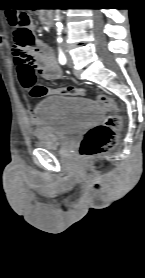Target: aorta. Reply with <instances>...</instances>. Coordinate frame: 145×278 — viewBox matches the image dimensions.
<instances>
[{"label":"aorta","instance_id":"762f6f07","mask_svg":"<svg viewBox=\"0 0 145 278\" xmlns=\"http://www.w3.org/2000/svg\"><path fill=\"white\" fill-rule=\"evenodd\" d=\"M56 27H57V31H58V33H60L61 32V30H62V24L59 22V17L57 16L56 17Z\"/></svg>","mask_w":145,"mask_h":278}]
</instances>
